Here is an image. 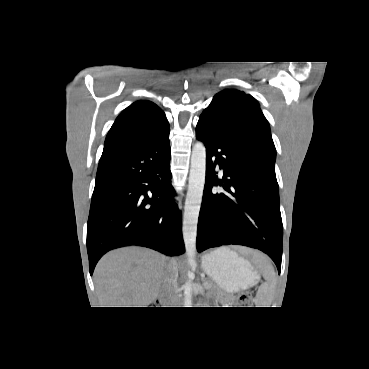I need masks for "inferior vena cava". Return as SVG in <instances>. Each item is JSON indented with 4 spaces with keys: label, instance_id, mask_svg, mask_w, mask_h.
<instances>
[{
    "label": "inferior vena cava",
    "instance_id": "1",
    "mask_svg": "<svg viewBox=\"0 0 369 369\" xmlns=\"http://www.w3.org/2000/svg\"><path fill=\"white\" fill-rule=\"evenodd\" d=\"M178 268L176 264L170 263L167 267L165 278L161 287L160 296L166 307H178L177 296Z\"/></svg>",
    "mask_w": 369,
    "mask_h": 369
}]
</instances>
